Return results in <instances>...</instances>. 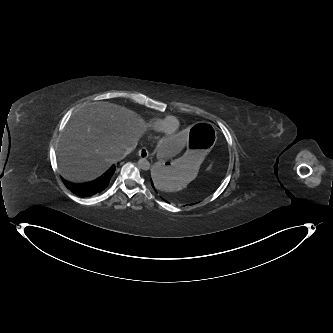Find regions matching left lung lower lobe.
I'll use <instances>...</instances> for the list:
<instances>
[{
  "label": "left lung lower lobe",
  "instance_id": "left-lung-lower-lobe-1",
  "mask_svg": "<svg viewBox=\"0 0 333 333\" xmlns=\"http://www.w3.org/2000/svg\"><path fill=\"white\" fill-rule=\"evenodd\" d=\"M151 185H152V187H153V189H154L155 191H156V189H155V188L159 189V187H158V186H156V185H155V187H154V184H153L152 180H151Z\"/></svg>",
  "mask_w": 333,
  "mask_h": 333
}]
</instances>
